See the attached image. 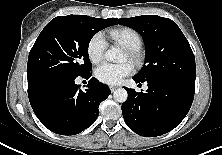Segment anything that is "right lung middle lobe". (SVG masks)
Listing matches in <instances>:
<instances>
[{
	"instance_id": "1",
	"label": "right lung middle lobe",
	"mask_w": 222,
	"mask_h": 155,
	"mask_svg": "<svg viewBox=\"0 0 222 155\" xmlns=\"http://www.w3.org/2000/svg\"><path fill=\"white\" fill-rule=\"evenodd\" d=\"M117 24L115 19L85 15L51 20L35 41L28 58V81L50 87L64 79L91 72L88 46L98 31Z\"/></svg>"
}]
</instances>
